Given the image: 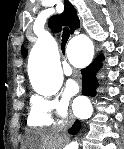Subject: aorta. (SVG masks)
I'll use <instances>...</instances> for the list:
<instances>
[{
    "mask_svg": "<svg viewBox=\"0 0 124 149\" xmlns=\"http://www.w3.org/2000/svg\"><path fill=\"white\" fill-rule=\"evenodd\" d=\"M70 46L87 53H93V43L86 35L73 38ZM63 74L58 61L56 45L52 40H44L34 51V63L30 70V81L35 92L43 96L54 95L62 85ZM93 107L87 98L80 100L78 116L81 119L91 117ZM66 149H79L77 142H71Z\"/></svg>",
    "mask_w": 124,
    "mask_h": 149,
    "instance_id": "762f6f07",
    "label": "aorta"
}]
</instances>
